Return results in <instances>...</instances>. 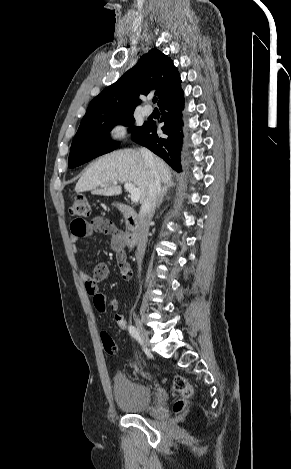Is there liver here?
<instances>
[{
	"label": "liver",
	"mask_w": 291,
	"mask_h": 469,
	"mask_svg": "<svg viewBox=\"0 0 291 469\" xmlns=\"http://www.w3.org/2000/svg\"><path fill=\"white\" fill-rule=\"evenodd\" d=\"M153 157L160 181L165 185L172 184L169 166L161 158ZM151 177V170L139 151L117 150L91 164L78 180L75 191H91L95 195L116 196L122 193V188L118 183L130 182L139 189L142 204L148 194Z\"/></svg>",
	"instance_id": "1"
}]
</instances>
